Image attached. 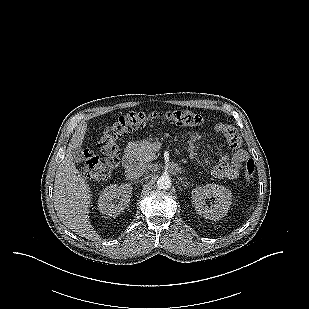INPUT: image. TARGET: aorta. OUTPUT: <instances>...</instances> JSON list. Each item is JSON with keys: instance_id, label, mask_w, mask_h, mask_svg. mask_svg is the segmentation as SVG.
<instances>
[{"instance_id": "1", "label": "aorta", "mask_w": 309, "mask_h": 309, "mask_svg": "<svg viewBox=\"0 0 309 309\" xmlns=\"http://www.w3.org/2000/svg\"><path fill=\"white\" fill-rule=\"evenodd\" d=\"M171 178L167 175H162L157 180V186L159 189L167 190L171 187Z\"/></svg>"}]
</instances>
